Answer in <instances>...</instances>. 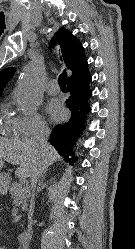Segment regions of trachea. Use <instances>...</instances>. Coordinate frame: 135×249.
I'll return each instance as SVG.
<instances>
[{"mask_svg": "<svg viewBox=\"0 0 135 249\" xmlns=\"http://www.w3.org/2000/svg\"><path fill=\"white\" fill-rule=\"evenodd\" d=\"M66 79H67L66 71H63L60 74L59 79H58V83H59L61 89H67V87H66Z\"/></svg>", "mask_w": 135, "mask_h": 249, "instance_id": "obj_1", "label": "trachea"}]
</instances>
